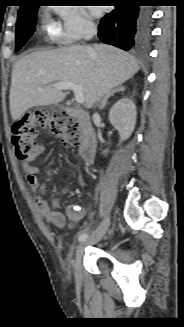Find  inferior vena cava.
Here are the masks:
<instances>
[{
    "instance_id": "1",
    "label": "inferior vena cava",
    "mask_w": 184,
    "mask_h": 327,
    "mask_svg": "<svg viewBox=\"0 0 184 327\" xmlns=\"http://www.w3.org/2000/svg\"><path fill=\"white\" fill-rule=\"evenodd\" d=\"M96 33V28L93 25H87L84 31L85 40H90Z\"/></svg>"
}]
</instances>
